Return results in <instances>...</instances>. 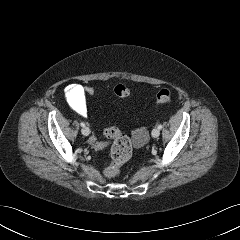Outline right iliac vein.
Masks as SVG:
<instances>
[{
    "label": "right iliac vein",
    "instance_id": "right-iliac-vein-1",
    "mask_svg": "<svg viewBox=\"0 0 240 240\" xmlns=\"http://www.w3.org/2000/svg\"><path fill=\"white\" fill-rule=\"evenodd\" d=\"M81 132L84 136H88L90 134V129L88 127H83Z\"/></svg>",
    "mask_w": 240,
    "mask_h": 240
}]
</instances>
